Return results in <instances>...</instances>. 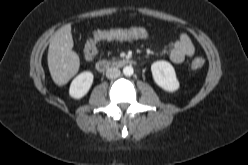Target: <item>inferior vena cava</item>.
<instances>
[{
  "mask_svg": "<svg viewBox=\"0 0 248 165\" xmlns=\"http://www.w3.org/2000/svg\"><path fill=\"white\" fill-rule=\"evenodd\" d=\"M121 72L118 68L115 67H111L109 69H107L106 71V77L108 79H115L118 78L120 76Z\"/></svg>",
  "mask_w": 248,
  "mask_h": 165,
  "instance_id": "obj_1",
  "label": "inferior vena cava"
}]
</instances>
